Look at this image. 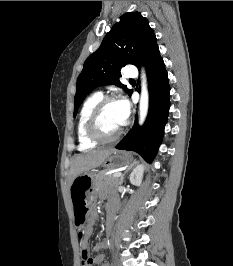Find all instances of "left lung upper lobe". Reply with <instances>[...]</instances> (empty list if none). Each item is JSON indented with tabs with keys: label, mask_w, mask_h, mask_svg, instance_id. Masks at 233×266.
Listing matches in <instances>:
<instances>
[{
	"label": "left lung upper lobe",
	"mask_w": 233,
	"mask_h": 266,
	"mask_svg": "<svg viewBox=\"0 0 233 266\" xmlns=\"http://www.w3.org/2000/svg\"><path fill=\"white\" fill-rule=\"evenodd\" d=\"M156 46V36L146 18L139 12L122 15L84 63L77 79L74 117L86 96L98 86L115 84L130 95L132 90L119 81L121 68L126 64L139 67Z\"/></svg>",
	"instance_id": "obj_1"
}]
</instances>
